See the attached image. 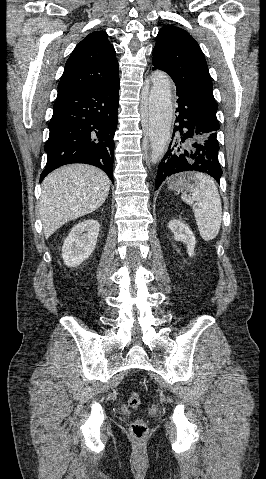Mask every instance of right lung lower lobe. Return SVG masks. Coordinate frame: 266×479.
Masks as SVG:
<instances>
[{"label": "right lung lower lobe", "instance_id": "obj_1", "mask_svg": "<svg viewBox=\"0 0 266 479\" xmlns=\"http://www.w3.org/2000/svg\"><path fill=\"white\" fill-rule=\"evenodd\" d=\"M118 91L119 77L108 83L58 92L48 125L47 163L40 182L54 169L71 163L99 167L113 182Z\"/></svg>", "mask_w": 266, "mask_h": 479}]
</instances>
